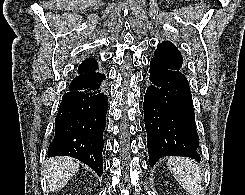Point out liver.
Instances as JSON below:
<instances>
[{
    "mask_svg": "<svg viewBox=\"0 0 245 195\" xmlns=\"http://www.w3.org/2000/svg\"><path fill=\"white\" fill-rule=\"evenodd\" d=\"M47 162L46 179L52 192L64 187L79 170V162L68 156H58L49 159Z\"/></svg>",
    "mask_w": 245,
    "mask_h": 195,
    "instance_id": "obj_1",
    "label": "liver"
}]
</instances>
